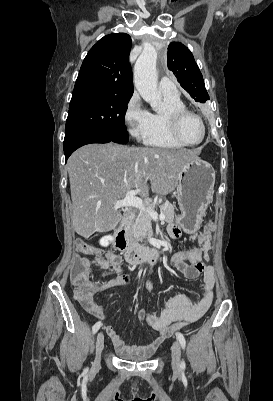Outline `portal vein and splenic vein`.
<instances>
[{
    "instance_id": "obj_1",
    "label": "portal vein and splenic vein",
    "mask_w": 273,
    "mask_h": 401,
    "mask_svg": "<svg viewBox=\"0 0 273 401\" xmlns=\"http://www.w3.org/2000/svg\"><path fill=\"white\" fill-rule=\"evenodd\" d=\"M138 192H142L141 188H136V190H128L125 198H122V201H117L114 205V209H121V207H137V209H140V211H145V213H148L150 215L151 219H154V221H164L165 215L161 213V215H158L156 211H154L153 207H144L141 198L139 196H136Z\"/></svg>"
}]
</instances>
